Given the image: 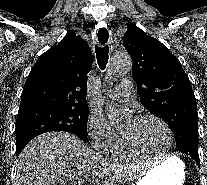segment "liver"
<instances>
[{"label": "liver", "instance_id": "1", "mask_svg": "<svg viewBox=\"0 0 207 185\" xmlns=\"http://www.w3.org/2000/svg\"><path fill=\"white\" fill-rule=\"evenodd\" d=\"M95 155L76 135L52 131L32 139L17 161L16 185H68L86 177Z\"/></svg>", "mask_w": 207, "mask_h": 185}]
</instances>
